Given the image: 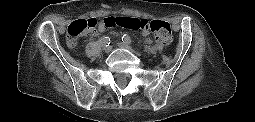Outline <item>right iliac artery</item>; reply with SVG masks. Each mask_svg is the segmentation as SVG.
<instances>
[{
    "label": "right iliac artery",
    "instance_id": "1",
    "mask_svg": "<svg viewBox=\"0 0 255 122\" xmlns=\"http://www.w3.org/2000/svg\"><path fill=\"white\" fill-rule=\"evenodd\" d=\"M102 44L104 45V46H109V44H110V37H108V36H106V37H103L102 38Z\"/></svg>",
    "mask_w": 255,
    "mask_h": 122
}]
</instances>
